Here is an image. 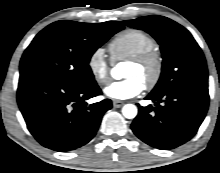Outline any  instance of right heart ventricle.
Here are the masks:
<instances>
[{
    "label": "right heart ventricle",
    "mask_w": 220,
    "mask_h": 173,
    "mask_svg": "<svg viewBox=\"0 0 220 173\" xmlns=\"http://www.w3.org/2000/svg\"><path fill=\"white\" fill-rule=\"evenodd\" d=\"M156 48L153 37L138 29H126L110 42L108 49L114 62L127 60Z\"/></svg>",
    "instance_id": "right-heart-ventricle-1"
}]
</instances>
